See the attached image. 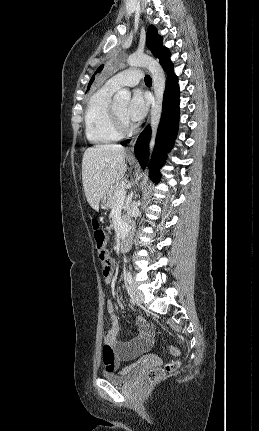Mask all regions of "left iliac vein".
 I'll return each mask as SVG.
<instances>
[{"mask_svg":"<svg viewBox=\"0 0 259 431\" xmlns=\"http://www.w3.org/2000/svg\"><path fill=\"white\" fill-rule=\"evenodd\" d=\"M129 290L135 301L138 303H143L144 295L134 284H130Z\"/></svg>","mask_w":259,"mask_h":431,"instance_id":"obj_1","label":"left iliac vein"}]
</instances>
